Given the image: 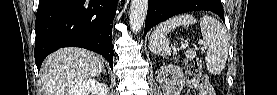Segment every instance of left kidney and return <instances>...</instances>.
Listing matches in <instances>:
<instances>
[{"instance_id": "left-kidney-1", "label": "left kidney", "mask_w": 277, "mask_h": 95, "mask_svg": "<svg viewBox=\"0 0 277 95\" xmlns=\"http://www.w3.org/2000/svg\"><path fill=\"white\" fill-rule=\"evenodd\" d=\"M168 73L172 77H168ZM156 79L165 92H179L183 88L182 78L174 76V68L171 66H163L156 72Z\"/></svg>"}]
</instances>
